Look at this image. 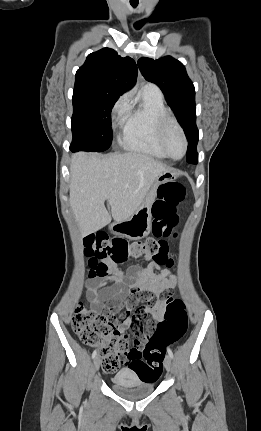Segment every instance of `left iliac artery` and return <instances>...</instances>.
Wrapping results in <instances>:
<instances>
[{"label":"left iliac artery","instance_id":"left-iliac-artery-1","mask_svg":"<svg viewBox=\"0 0 261 431\" xmlns=\"http://www.w3.org/2000/svg\"><path fill=\"white\" fill-rule=\"evenodd\" d=\"M167 352H168L170 358L173 359V352L169 347L167 348Z\"/></svg>","mask_w":261,"mask_h":431}]
</instances>
